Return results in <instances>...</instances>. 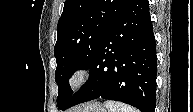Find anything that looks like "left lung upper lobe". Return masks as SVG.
Masks as SVG:
<instances>
[{
    "label": "left lung upper lobe",
    "mask_w": 193,
    "mask_h": 112,
    "mask_svg": "<svg viewBox=\"0 0 193 112\" xmlns=\"http://www.w3.org/2000/svg\"><path fill=\"white\" fill-rule=\"evenodd\" d=\"M132 0H66L57 25L54 56L60 109L71 97L69 78L87 69L103 37Z\"/></svg>",
    "instance_id": "left-lung-upper-lobe-1"
}]
</instances>
